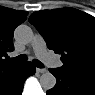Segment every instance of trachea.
Returning <instances> with one entry per match:
<instances>
[{"instance_id": "3493384b", "label": "trachea", "mask_w": 95, "mask_h": 95, "mask_svg": "<svg viewBox=\"0 0 95 95\" xmlns=\"http://www.w3.org/2000/svg\"><path fill=\"white\" fill-rule=\"evenodd\" d=\"M13 60H14V61H17V62H25V61H27V56L24 55V54H22V55H19V56L13 58ZM33 64H34L36 67H38V68H43V66H44V65H43L39 60H37V59H34V60H33Z\"/></svg>"}]
</instances>
